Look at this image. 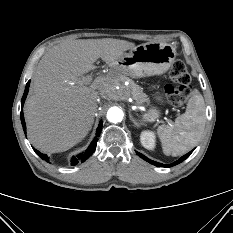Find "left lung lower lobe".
<instances>
[{
  "instance_id": "left-lung-lower-lobe-1",
  "label": "left lung lower lobe",
  "mask_w": 233,
  "mask_h": 233,
  "mask_svg": "<svg viewBox=\"0 0 233 233\" xmlns=\"http://www.w3.org/2000/svg\"><path fill=\"white\" fill-rule=\"evenodd\" d=\"M192 152H193V150L190 151L189 153H187L186 155L182 156L179 160H177V161H175V162H173V163H171V164H168V165H165V164L158 163V162H155V161H153V160H150V159H148L146 156L142 155V154L139 153V152H136V153H137L142 159L146 160L147 162H149V163H151V164H153V165H155V166H158V167H172V166H175V165L181 163L182 161H184Z\"/></svg>"
}]
</instances>
